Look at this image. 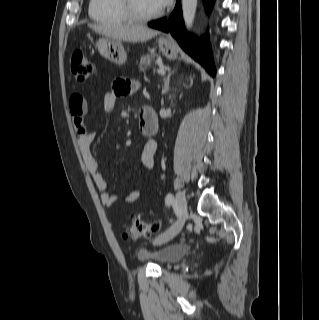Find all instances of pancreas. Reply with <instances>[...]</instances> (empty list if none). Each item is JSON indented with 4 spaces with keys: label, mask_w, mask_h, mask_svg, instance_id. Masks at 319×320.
<instances>
[{
    "label": "pancreas",
    "mask_w": 319,
    "mask_h": 320,
    "mask_svg": "<svg viewBox=\"0 0 319 320\" xmlns=\"http://www.w3.org/2000/svg\"><path fill=\"white\" fill-rule=\"evenodd\" d=\"M157 58H158V55L156 54L142 56L140 58L139 68L144 69V68L150 67L152 64H159Z\"/></svg>",
    "instance_id": "cf45deb5"
}]
</instances>
